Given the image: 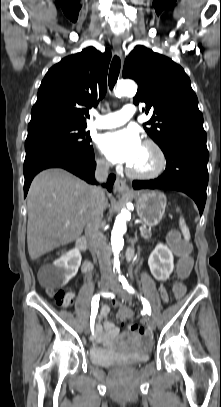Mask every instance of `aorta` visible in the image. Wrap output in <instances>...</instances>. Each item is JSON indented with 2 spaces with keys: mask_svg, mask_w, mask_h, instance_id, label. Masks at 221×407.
<instances>
[{
  "mask_svg": "<svg viewBox=\"0 0 221 407\" xmlns=\"http://www.w3.org/2000/svg\"><path fill=\"white\" fill-rule=\"evenodd\" d=\"M137 92V85L131 80L120 81L117 84V88L115 91V95L118 98H121L125 95H135ZM132 208V204L128 203L127 208L121 210V212L116 217L114 222V226L111 233V247L114 254V266L117 269L118 273H120V261H119V253L123 249L124 246V239L123 236L127 230L126 222L131 218L130 209ZM120 278H122L120 276Z\"/></svg>",
  "mask_w": 221,
  "mask_h": 407,
  "instance_id": "aorta-1",
  "label": "aorta"
}]
</instances>
